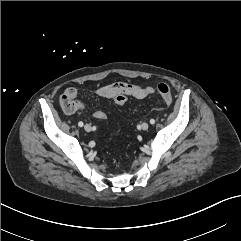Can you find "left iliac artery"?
<instances>
[{
    "label": "left iliac artery",
    "mask_w": 241,
    "mask_h": 241,
    "mask_svg": "<svg viewBox=\"0 0 241 241\" xmlns=\"http://www.w3.org/2000/svg\"><path fill=\"white\" fill-rule=\"evenodd\" d=\"M150 124H155V120L154 119H150Z\"/></svg>",
    "instance_id": "1"
}]
</instances>
